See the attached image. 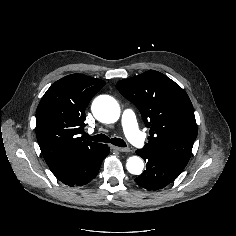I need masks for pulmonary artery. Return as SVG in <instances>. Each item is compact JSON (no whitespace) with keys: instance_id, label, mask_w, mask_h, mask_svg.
Returning a JSON list of instances; mask_svg holds the SVG:
<instances>
[{"instance_id":"e3ab8cb5","label":"pulmonary artery","mask_w":236,"mask_h":236,"mask_svg":"<svg viewBox=\"0 0 236 236\" xmlns=\"http://www.w3.org/2000/svg\"><path fill=\"white\" fill-rule=\"evenodd\" d=\"M121 123L124 133L129 141L139 148L143 147L145 144L144 136L138 129L136 117L132 110L127 109L123 112Z\"/></svg>"}]
</instances>
